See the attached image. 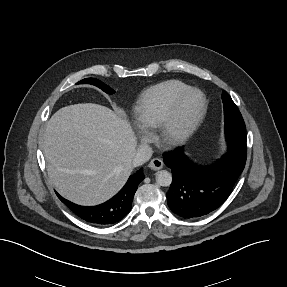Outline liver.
Returning a JSON list of instances; mask_svg holds the SVG:
<instances>
[{
    "label": "liver",
    "mask_w": 287,
    "mask_h": 287,
    "mask_svg": "<svg viewBox=\"0 0 287 287\" xmlns=\"http://www.w3.org/2000/svg\"><path fill=\"white\" fill-rule=\"evenodd\" d=\"M137 139L126 119L107 107L82 103L59 109L42 141L50 182L85 206L105 202L126 183Z\"/></svg>",
    "instance_id": "obj_1"
}]
</instances>
